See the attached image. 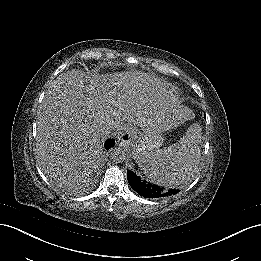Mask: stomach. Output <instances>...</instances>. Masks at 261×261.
I'll return each instance as SVG.
<instances>
[{
	"label": "stomach",
	"instance_id": "0dacf381",
	"mask_svg": "<svg viewBox=\"0 0 261 261\" xmlns=\"http://www.w3.org/2000/svg\"><path fill=\"white\" fill-rule=\"evenodd\" d=\"M161 121L153 119L142 131H137L132 144V155L139 162L146 154L158 149L162 145L159 132Z\"/></svg>",
	"mask_w": 261,
	"mask_h": 261
}]
</instances>
